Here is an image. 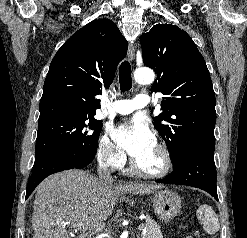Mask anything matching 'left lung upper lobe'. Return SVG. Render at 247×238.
<instances>
[{"label": "left lung upper lobe", "mask_w": 247, "mask_h": 238, "mask_svg": "<svg viewBox=\"0 0 247 238\" xmlns=\"http://www.w3.org/2000/svg\"><path fill=\"white\" fill-rule=\"evenodd\" d=\"M146 66L157 72L152 92H161L163 112L154 126L173 165L184 150L214 155L215 94L208 68L191 37L172 24L154 25L140 38Z\"/></svg>", "instance_id": "left-lung-upper-lobe-1"}]
</instances>
